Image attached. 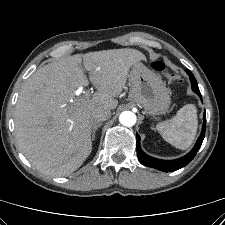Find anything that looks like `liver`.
<instances>
[{
    "mask_svg": "<svg viewBox=\"0 0 225 225\" xmlns=\"http://www.w3.org/2000/svg\"><path fill=\"white\" fill-rule=\"evenodd\" d=\"M145 55L135 49H111L67 56L38 68L24 83L15 107L18 146L37 170L65 176L77 170L92 151L95 107L114 109L125 88L130 68ZM97 92L77 97L88 84Z\"/></svg>",
    "mask_w": 225,
    "mask_h": 225,
    "instance_id": "obj_1",
    "label": "liver"
}]
</instances>
